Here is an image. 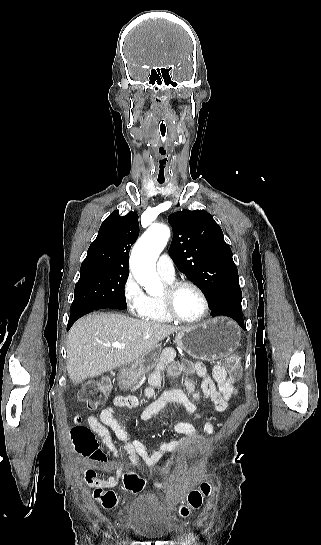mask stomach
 <instances>
[{
	"label": "stomach",
	"instance_id": "1",
	"mask_svg": "<svg viewBox=\"0 0 321 545\" xmlns=\"http://www.w3.org/2000/svg\"><path fill=\"white\" fill-rule=\"evenodd\" d=\"M240 339L241 329L234 321L226 317H215L201 325H192V327H185L183 331H178L175 343L193 359L214 361L228 353H233L239 347ZM160 353L161 347L156 345L155 349L149 351L147 355H142L132 363L120 367L118 373L120 387H127L129 377H135L138 373L145 375L148 371H152L158 363Z\"/></svg>",
	"mask_w": 321,
	"mask_h": 545
}]
</instances>
